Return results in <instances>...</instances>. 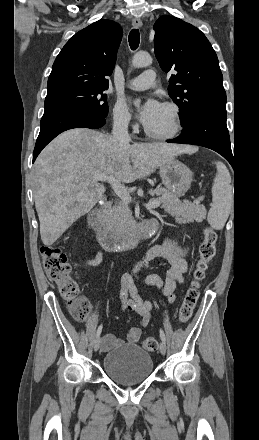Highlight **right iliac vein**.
<instances>
[{
  "label": "right iliac vein",
  "instance_id": "obj_1",
  "mask_svg": "<svg viewBox=\"0 0 259 440\" xmlns=\"http://www.w3.org/2000/svg\"><path fill=\"white\" fill-rule=\"evenodd\" d=\"M100 343H101L100 337H96L94 340V351L95 352L98 351V349L100 347Z\"/></svg>",
  "mask_w": 259,
  "mask_h": 440
}]
</instances>
